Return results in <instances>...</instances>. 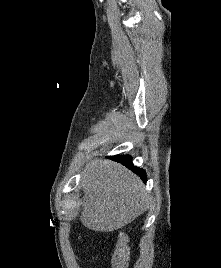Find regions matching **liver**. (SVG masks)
<instances>
[{"label":"liver","mask_w":221,"mask_h":268,"mask_svg":"<svg viewBox=\"0 0 221 268\" xmlns=\"http://www.w3.org/2000/svg\"><path fill=\"white\" fill-rule=\"evenodd\" d=\"M80 187L85 195L80 221L94 231L120 229L149 208V196L140 178L114 161H89Z\"/></svg>","instance_id":"obj_1"}]
</instances>
